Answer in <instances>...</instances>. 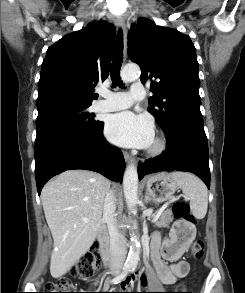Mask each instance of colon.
<instances>
[{
	"instance_id": "obj_1",
	"label": "colon",
	"mask_w": 245,
	"mask_h": 293,
	"mask_svg": "<svg viewBox=\"0 0 245 293\" xmlns=\"http://www.w3.org/2000/svg\"><path fill=\"white\" fill-rule=\"evenodd\" d=\"M174 217L178 220V223L174 227V233H178L183 223L193 224L195 222L194 216L191 214L189 205L182 200L174 202L172 206ZM175 243V239H173ZM205 244L204 241L199 239L194 241L191 246V254L195 260H202L204 257ZM100 264V255L95 249L90 253L83 255L79 261L73 266L71 275L79 279H88L92 276L95 268ZM76 287L67 278L61 277L55 281L48 282L45 285L44 292L42 293H81L75 292ZM186 288L181 286L177 292L173 293H192L186 292Z\"/></svg>"
}]
</instances>
